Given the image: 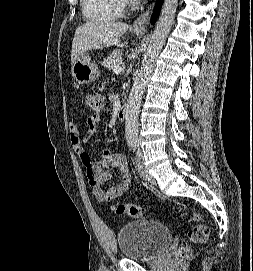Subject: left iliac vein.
<instances>
[{"label":"left iliac vein","mask_w":253,"mask_h":271,"mask_svg":"<svg viewBox=\"0 0 253 271\" xmlns=\"http://www.w3.org/2000/svg\"><path fill=\"white\" fill-rule=\"evenodd\" d=\"M137 155V167L140 170L141 174L143 177L147 179H151V175L148 172V169L145 167L144 162H143V152L141 149H138L136 152Z\"/></svg>","instance_id":"left-iliac-vein-1"}]
</instances>
